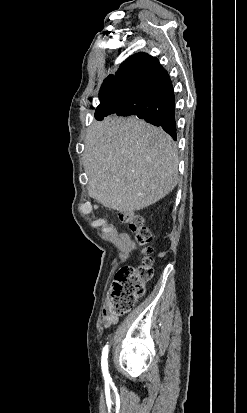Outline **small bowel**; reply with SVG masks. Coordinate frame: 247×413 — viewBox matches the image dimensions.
Returning a JSON list of instances; mask_svg holds the SVG:
<instances>
[{"label": "small bowel", "instance_id": "1", "mask_svg": "<svg viewBox=\"0 0 247 413\" xmlns=\"http://www.w3.org/2000/svg\"><path fill=\"white\" fill-rule=\"evenodd\" d=\"M118 322V317L114 316L112 314L109 313V311L107 309L103 310V314H102V324L104 327L108 328L111 325H114Z\"/></svg>", "mask_w": 247, "mask_h": 413}]
</instances>
